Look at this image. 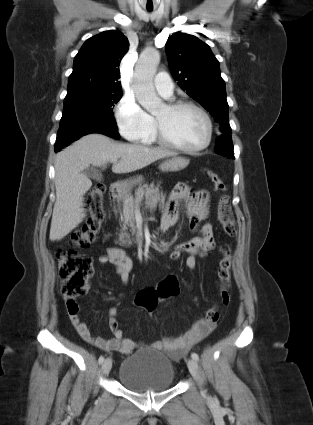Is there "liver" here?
I'll use <instances>...</instances> for the list:
<instances>
[{
	"label": "liver",
	"mask_w": 313,
	"mask_h": 425,
	"mask_svg": "<svg viewBox=\"0 0 313 425\" xmlns=\"http://www.w3.org/2000/svg\"><path fill=\"white\" fill-rule=\"evenodd\" d=\"M176 155L177 153L166 149L116 143L98 133L83 136L59 152L55 161L56 202L51 220L50 240L63 239L86 217L83 200L92 182L84 171L90 165L105 168L109 161L120 159L113 164L112 171L130 173L159 159Z\"/></svg>",
	"instance_id": "obj_1"
}]
</instances>
